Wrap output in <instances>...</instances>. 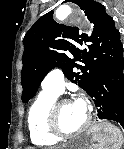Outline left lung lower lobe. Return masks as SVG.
I'll use <instances>...</instances> for the list:
<instances>
[{"label": "left lung lower lobe", "mask_w": 124, "mask_h": 149, "mask_svg": "<svg viewBox=\"0 0 124 149\" xmlns=\"http://www.w3.org/2000/svg\"><path fill=\"white\" fill-rule=\"evenodd\" d=\"M86 92L99 119L116 121L124 128V58L105 67Z\"/></svg>", "instance_id": "obj_1"}]
</instances>
